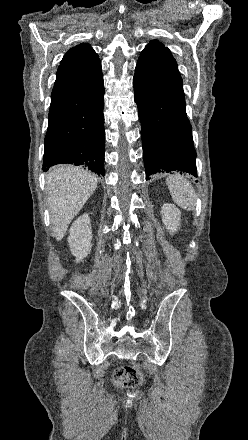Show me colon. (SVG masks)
Instances as JSON below:
<instances>
[{"mask_svg": "<svg viewBox=\"0 0 248 440\" xmlns=\"http://www.w3.org/2000/svg\"><path fill=\"white\" fill-rule=\"evenodd\" d=\"M113 380L118 386H137L141 382V373L134 365H124L115 369Z\"/></svg>", "mask_w": 248, "mask_h": 440, "instance_id": "5ec220e1", "label": "colon"}]
</instances>
